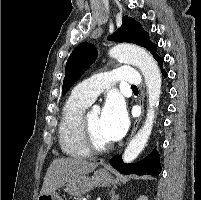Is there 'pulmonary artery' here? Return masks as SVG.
Returning <instances> with one entry per match:
<instances>
[{
	"label": "pulmonary artery",
	"instance_id": "obj_1",
	"mask_svg": "<svg viewBox=\"0 0 201 200\" xmlns=\"http://www.w3.org/2000/svg\"><path fill=\"white\" fill-rule=\"evenodd\" d=\"M115 80L138 85L140 75L130 66H121L112 73H103L79 83L72 91L76 97L89 103L105 91Z\"/></svg>",
	"mask_w": 201,
	"mask_h": 200
}]
</instances>
